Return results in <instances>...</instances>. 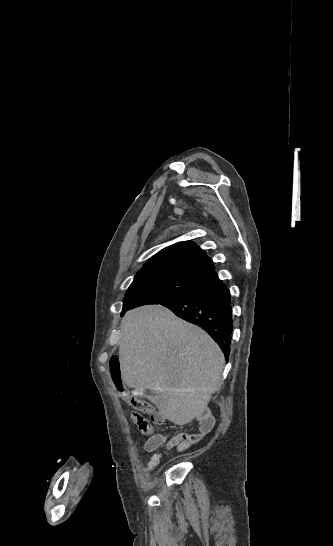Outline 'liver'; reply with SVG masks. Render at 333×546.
<instances>
[{"label":"liver","instance_id":"6515ba94","mask_svg":"<svg viewBox=\"0 0 333 546\" xmlns=\"http://www.w3.org/2000/svg\"><path fill=\"white\" fill-rule=\"evenodd\" d=\"M122 382L143 394L177 425L200 417L221 386L224 355L201 328L161 305L129 311L121 321Z\"/></svg>","mask_w":333,"mask_h":546}]
</instances>
